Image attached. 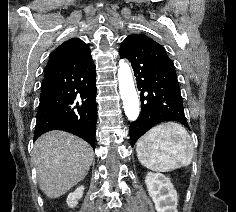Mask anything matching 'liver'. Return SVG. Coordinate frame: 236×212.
<instances>
[{"mask_svg":"<svg viewBox=\"0 0 236 212\" xmlns=\"http://www.w3.org/2000/svg\"><path fill=\"white\" fill-rule=\"evenodd\" d=\"M32 158L40 189L49 198L55 199L84 179L94 152L79 137L56 130L36 140Z\"/></svg>","mask_w":236,"mask_h":212,"instance_id":"liver-1","label":"liver"}]
</instances>
